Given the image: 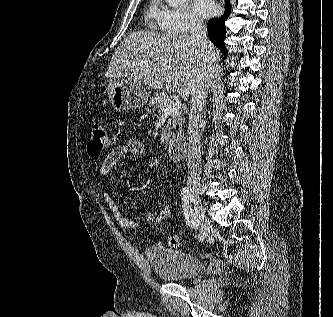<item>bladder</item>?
Returning <instances> with one entry per match:
<instances>
[{
  "mask_svg": "<svg viewBox=\"0 0 333 317\" xmlns=\"http://www.w3.org/2000/svg\"><path fill=\"white\" fill-rule=\"evenodd\" d=\"M146 257L154 273L160 279L170 282L191 280L203 267L201 259L196 255L161 245L149 247L146 250Z\"/></svg>",
  "mask_w": 333,
  "mask_h": 317,
  "instance_id": "1",
  "label": "bladder"
}]
</instances>
